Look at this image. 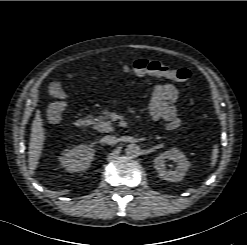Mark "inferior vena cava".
I'll list each match as a JSON object with an SVG mask.
<instances>
[{"label": "inferior vena cava", "mask_w": 247, "mask_h": 245, "mask_svg": "<svg viewBox=\"0 0 247 245\" xmlns=\"http://www.w3.org/2000/svg\"><path fill=\"white\" fill-rule=\"evenodd\" d=\"M102 141L108 145H115L118 143V139L113 135L103 137Z\"/></svg>", "instance_id": "inferior-vena-cava-1"}]
</instances>
